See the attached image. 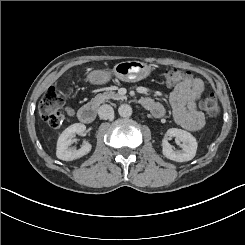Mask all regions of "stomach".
Wrapping results in <instances>:
<instances>
[{
  "label": "stomach",
  "instance_id": "0dacf381",
  "mask_svg": "<svg viewBox=\"0 0 245 245\" xmlns=\"http://www.w3.org/2000/svg\"><path fill=\"white\" fill-rule=\"evenodd\" d=\"M152 68L150 65L140 61H125L116 64L113 74L125 82H137L150 75ZM111 73L105 70H94L89 73L88 80L92 84H104L109 81Z\"/></svg>",
  "mask_w": 245,
  "mask_h": 245
}]
</instances>
